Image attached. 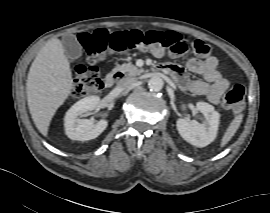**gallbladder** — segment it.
<instances>
[{
	"mask_svg": "<svg viewBox=\"0 0 270 213\" xmlns=\"http://www.w3.org/2000/svg\"><path fill=\"white\" fill-rule=\"evenodd\" d=\"M62 44L69 58L77 59L82 55V46L75 35L64 36L62 38Z\"/></svg>",
	"mask_w": 270,
	"mask_h": 213,
	"instance_id": "1",
	"label": "gallbladder"
}]
</instances>
